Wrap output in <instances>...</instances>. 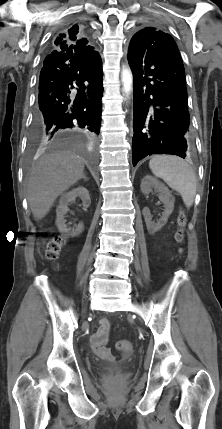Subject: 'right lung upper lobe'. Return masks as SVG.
<instances>
[{"instance_id": "cb5924a9", "label": "right lung upper lobe", "mask_w": 222, "mask_h": 429, "mask_svg": "<svg viewBox=\"0 0 222 429\" xmlns=\"http://www.w3.org/2000/svg\"><path fill=\"white\" fill-rule=\"evenodd\" d=\"M71 32H64L52 42L51 49L54 51L50 52H63L69 55H74L77 59L85 60L93 56L98 55V52L94 48L88 45L87 38L83 37L78 31V26L72 27Z\"/></svg>"}]
</instances>
